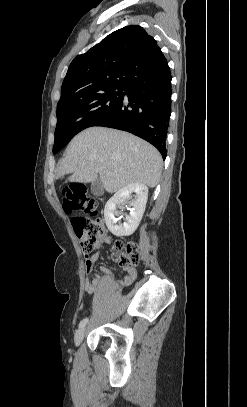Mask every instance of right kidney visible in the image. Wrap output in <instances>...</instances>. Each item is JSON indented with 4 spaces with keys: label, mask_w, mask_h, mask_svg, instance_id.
Returning <instances> with one entry per match:
<instances>
[{
    "label": "right kidney",
    "mask_w": 247,
    "mask_h": 407,
    "mask_svg": "<svg viewBox=\"0 0 247 407\" xmlns=\"http://www.w3.org/2000/svg\"><path fill=\"white\" fill-rule=\"evenodd\" d=\"M134 194L135 200L129 202L130 213L125 217V222L120 223L115 218L117 214L116 207L128 201ZM148 199V187L142 183H132L118 190L110 198L104 209L105 223L109 231L115 236H129L137 229L146 207Z\"/></svg>",
    "instance_id": "right-kidney-1"
}]
</instances>
